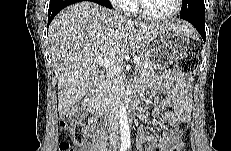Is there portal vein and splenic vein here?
Instances as JSON below:
<instances>
[{"label":"portal vein and splenic vein","mask_w":231,"mask_h":151,"mask_svg":"<svg viewBox=\"0 0 231 151\" xmlns=\"http://www.w3.org/2000/svg\"><path fill=\"white\" fill-rule=\"evenodd\" d=\"M140 60H141V57L136 56L134 58V63H139ZM94 63L104 67L108 72L120 73L122 71L119 63L108 60V59L104 58L102 55H100L96 59H94Z\"/></svg>","instance_id":"18ae733b"}]
</instances>
